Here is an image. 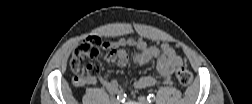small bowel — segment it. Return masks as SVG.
I'll return each mask as SVG.
<instances>
[{
  "label": "small bowel",
  "instance_id": "1",
  "mask_svg": "<svg viewBox=\"0 0 252 104\" xmlns=\"http://www.w3.org/2000/svg\"><path fill=\"white\" fill-rule=\"evenodd\" d=\"M116 44L118 48L105 58L107 62L116 61L119 67H125L130 59V54L126 47L135 46L139 51L133 56V60L143 65L156 59V69L164 85L172 84V74L177 68L183 65L182 57L176 54L174 49L167 43H162L160 46L148 45L146 40L142 37L135 39L125 36L120 38ZM99 81L103 88L110 94H119L122 92V87L117 80L99 78ZM96 83L97 78L91 75L79 85H95ZM155 83L156 80L153 77L143 76L134 82V87L136 89H145L154 86Z\"/></svg>",
  "mask_w": 252,
  "mask_h": 104
}]
</instances>
